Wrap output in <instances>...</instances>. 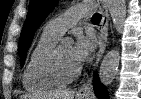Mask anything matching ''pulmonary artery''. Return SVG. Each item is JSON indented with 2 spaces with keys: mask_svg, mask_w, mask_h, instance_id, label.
<instances>
[{
  "mask_svg": "<svg viewBox=\"0 0 141 99\" xmlns=\"http://www.w3.org/2000/svg\"><path fill=\"white\" fill-rule=\"evenodd\" d=\"M93 9V5L89 3L74 6L66 10L58 17L50 20L46 24L44 31L57 38H60L63 33L75 25L79 19L90 16L93 12Z\"/></svg>",
  "mask_w": 141,
  "mask_h": 99,
  "instance_id": "pulmonary-artery-1",
  "label": "pulmonary artery"
}]
</instances>
